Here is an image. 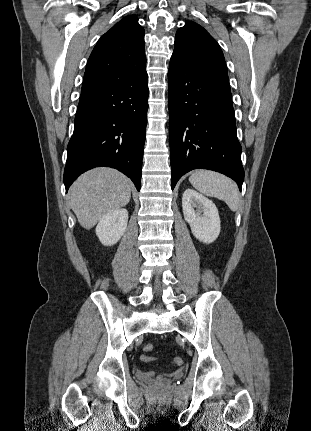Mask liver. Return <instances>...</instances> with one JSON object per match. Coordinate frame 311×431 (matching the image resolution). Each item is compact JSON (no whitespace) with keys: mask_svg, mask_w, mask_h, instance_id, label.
I'll return each instance as SVG.
<instances>
[{"mask_svg":"<svg viewBox=\"0 0 311 431\" xmlns=\"http://www.w3.org/2000/svg\"><path fill=\"white\" fill-rule=\"evenodd\" d=\"M130 198L131 188L124 174L112 168H95L72 184L69 206L80 225L91 229L105 214L127 206Z\"/></svg>","mask_w":311,"mask_h":431,"instance_id":"6515ba94","label":"liver"}]
</instances>
